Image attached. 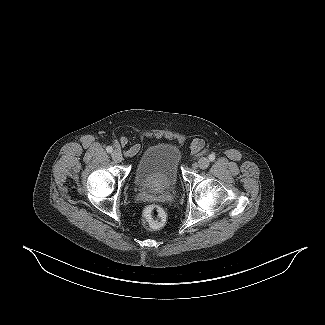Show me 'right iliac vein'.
<instances>
[{"mask_svg": "<svg viewBox=\"0 0 325 325\" xmlns=\"http://www.w3.org/2000/svg\"><path fill=\"white\" fill-rule=\"evenodd\" d=\"M112 158H113V160L116 161V162H121L122 159H123L121 151H119V150H114V151L112 152Z\"/></svg>", "mask_w": 325, "mask_h": 325, "instance_id": "right-iliac-vein-1", "label": "right iliac vein"}]
</instances>
